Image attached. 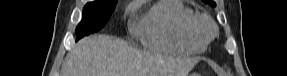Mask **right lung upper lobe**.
Returning a JSON list of instances; mask_svg holds the SVG:
<instances>
[{"label":"right lung upper lobe","instance_id":"cb5924a9","mask_svg":"<svg viewBox=\"0 0 287 76\" xmlns=\"http://www.w3.org/2000/svg\"><path fill=\"white\" fill-rule=\"evenodd\" d=\"M101 1H117V0H96L95 2H101Z\"/></svg>","mask_w":287,"mask_h":76}]
</instances>
